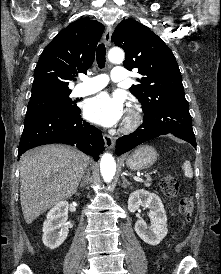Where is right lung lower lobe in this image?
Wrapping results in <instances>:
<instances>
[{
	"label": "right lung lower lobe",
	"instance_id": "98d812e1",
	"mask_svg": "<svg viewBox=\"0 0 221 274\" xmlns=\"http://www.w3.org/2000/svg\"><path fill=\"white\" fill-rule=\"evenodd\" d=\"M50 143L76 146L95 160L104 151L101 131L82 120L80 109L76 112L48 111L26 117L18 158L29 149Z\"/></svg>",
	"mask_w": 221,
	"mask_h": 274
}]
</instances>
